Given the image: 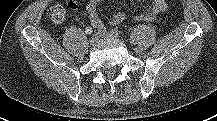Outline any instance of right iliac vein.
Listing matches in <instances>:
<instances>
[{"instance_id":"1","label":"right iliac vein","mask_w":217,"mask_h":121,"mask_svg":"<svg viewBox=\"0 0 217 121\" xmlns=\"http://www.w3.org/2000/svg\"><path fill=\"white\" fill-rule=\"evenodd\" d=\"M99 40V35L95 34L90 38V44L95 45Z\"/></svg>"}]
</instances>
